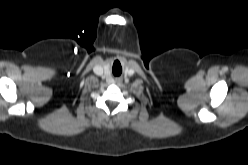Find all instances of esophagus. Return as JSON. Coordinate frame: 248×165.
Here are the masks:
<instances>
[{
	"label": "esophagus",
	"instance_id": "1",
	"mask_svg": "<svg viewBox=\"0 0 248 165\" xmlns=\"http://www.w3.org/2000/svg\"><path fill=\"white\" fill-rule=\"evenodd\" d=\"M121 80H116V82H120Z\"/></svg>",
	"mask_w": 248,
	"mask_h": 165
}]
</instances>
